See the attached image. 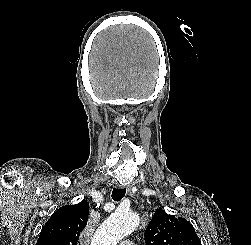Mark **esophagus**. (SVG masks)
<instances>
[{"instance_id": "esophagus-1", "label": "esophagus", "mask_w": 251, "mask_h": 245, "mask_svg": "<svg viewBox=\"0 0 251 245\" xmlns=\"http://www.w3.org/2000/svg\"><path fill=\"white\" fill-rule=\"evenodd\" d=\"M120 188H126L128 193H131L132 186L131 185H119Z\"/></svg>"}]
</instances>
